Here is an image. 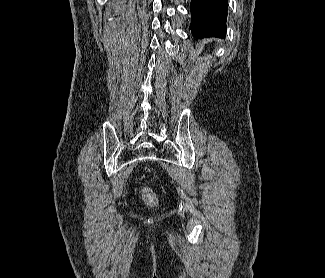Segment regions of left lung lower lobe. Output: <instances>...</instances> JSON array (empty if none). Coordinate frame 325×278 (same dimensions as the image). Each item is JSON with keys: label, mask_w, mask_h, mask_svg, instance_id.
<instances>
[{"label": "left lung lower lobe", "mask_w": 325, "mask_h": 278, "mask_svg": "<svg viewBox=\"0 0 325 278\" xmlns=\"http://www.w3.org/2000/svg\"><path fill=\"white\" fill-rule=\"evenodd\" d=\"M228 0H191L192 35L225 37Z\"/></svg>", "instance_id": "left-lung-lower-lobe-1"}]
</instances>
